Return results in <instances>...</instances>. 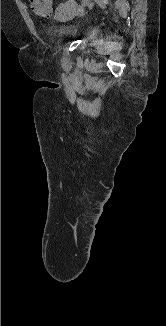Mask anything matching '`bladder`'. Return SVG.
Returning a JSON list of instances; mask_svg holds the SVG:
<instances>
[{
	"instance_id": "obj_1",
	"label": "bladder",
	"mask_w": 166,
	"mask_h": 326,
	"mask_svg": "<svg viewBox=\"0 0 166 326\" xmlns=\"http://www.w3.org/2000/svg\"><path fill=\"white\" fill-rule=\"evenodd\" d=\"M62 31L64 32V33H70V34H73V33H75V30H73V28H71L70 26H65L64 28H62Z\"/></svg>"
}]
</instances>
